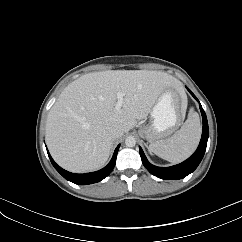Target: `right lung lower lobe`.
<instances>
[{"instance_id": "obj_1", "label": "right lung lower lobe", "mask_w": 242, "mask_h": 242, "mask_svg": "<svg viewBox=\"0 0 242 242\" xmlns=\"http://www.w3.org/2000/svg\"><path fill=\"white\" fill-rule=\"evenodd\" d=\"M119 147H120V145H118L117 148L115 149L113 157L106 167H104L103 169H101L99 171L92 172V173H86V174H74V173H71V172H68V171L62 169L60 166H58L54 162V160L50 156L49 152L48 151L47 152H48V156L50 158L51 163L53 164L55 169L65 179H67L75 184H78V185H87V184L99 182L111 173V171L113 170L115 163H116V157H117Z\"/></svg>"}]
</instances>
